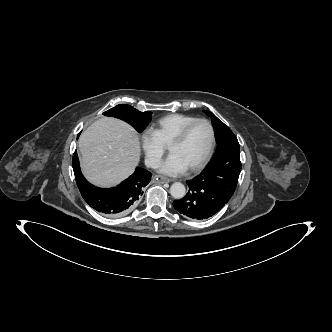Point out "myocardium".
<instances>
[{
  "label": "myocardium",
  "instance_id": "obj_1",
  "mask_svg": "<svg viewBox=\"0 0 332 332\" xmlns=\"http://www.w3.org/2000/svg\"><path fill=\"white\" fill-rule=\"evenodd\" d=\"M197 123H206L211 131V141L209 144V147L206 151V153L203 155V157L196 162L194 165H192L191 167L188 168L189 171L191 172H195L200 170L210 159L215 145H216V130L215 127L213 125V123L207 119V118H196L194 120H192L191 122L187 123L178 133L177 135L172 139V141L169 144V148L175 145H178L180 143H182L184 141V139L186 138L189 130Z\"/></svg>",
  "mask_w": 332,
  "mask_h": 332
}]
</instances>
